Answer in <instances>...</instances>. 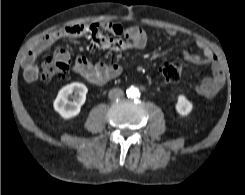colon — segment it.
Segmentation results:
<instances>
[{"label":"colon","instance_id":"obj_1","mask_svg":"<svg viewBox=\"0 0 245 195\" xmlns=\"http://www.w3.org/2000/svg\"><path fill=\"white\" fill-rule=\"evenodd\" d=\"M65 60L46 57L41 62V79L44 82L63 79L68 71ZM182 67L178 62H168L161 66L160 73L164 83L174 82L179 79Z\"/></svg>","mask_w":245,"mask_h":195}]
</instances>
